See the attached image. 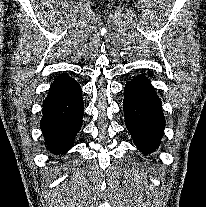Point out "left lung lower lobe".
<instances>
[{
	"label": "left lung lower lobe",
	"mask_w": 206,
	"mask_h": 207,
	"mask_svg": "<svg viewBox=\"0 0 206 207\" xmlns=\"http://www.w3.org/2000/svg\"><path fill=\"white\" fill-rule=\"evenodd\" d=\"M124 90L127 129L139 150L150 153L159 147L165 127L161 101L144 75L133 78Z\"/></svg>",
	"instance_id": "left-lung-lower-lobe-1"
}]
</instances>
